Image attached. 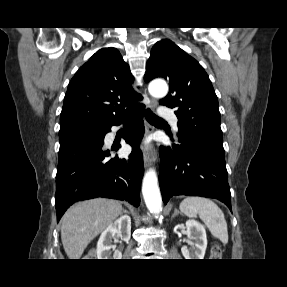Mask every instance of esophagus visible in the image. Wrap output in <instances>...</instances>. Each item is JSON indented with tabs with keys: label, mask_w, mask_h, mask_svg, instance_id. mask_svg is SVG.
<instances>
[{
	"label": "esophagus",
	"mask_w": 287,
	"mask_h": 287,
	"mask_svg": "<svg viewBox=\"0 0 287 287\" xmlns=\"http://www.w3.org/2000/svg\"><path fill=\"white\" fill-rule=\"evenodd\" d=\"M157 106V101L155 99H151L150 102H149V105L148 107L150 109H155ZM145 132H146V135H149L150 133L153 132V127L150 125V124H146V128H145ZM143 161H144V165L147 167L151 164V162L153 161V155H152V152L151 150L149 149H146L144 150L143 152Z\"/></svg>",
	"instance_id": "esophagus-1"
}]
</instances>
